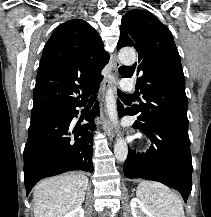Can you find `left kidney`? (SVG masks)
<instances>
[{"instance_id": "obj_1", "label": "left kidney", "mask_w": 211, "mask_h": 217, "mask_svg": "<svg viewBox=\"0 0 211 217\" xmlns=\"http://www.w3.org/2000/svg\"><path fill=\"white\" fill-rule=\"evenodd\" d=\"M130 206L133 217H154L138 198H132Z\"/></svg>"}]
</instances>
